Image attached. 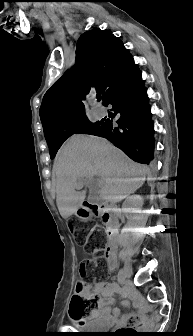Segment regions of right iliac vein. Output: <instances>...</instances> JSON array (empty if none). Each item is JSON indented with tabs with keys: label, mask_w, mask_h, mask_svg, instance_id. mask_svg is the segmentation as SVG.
Returning <instances> with one entry per match:
<instances>
[{
	"label": "right iliac vein",
	"mask_w": 193,
	"mask_h": 336,
	"mask_svg": "<svg viewBox=\"0 0 193 336\" xmlns=\"http://www.w3.org/2000/svg\"><path fill=\"white\" fill-rule=\"evenodd\" d=\"M122 271V281L125 280V279H128L130 278L131 276V267L129 265V263H125L123 269L121 270Z\"/></svg>",
	"instance_id": "obj_1"
}]
</instances>
